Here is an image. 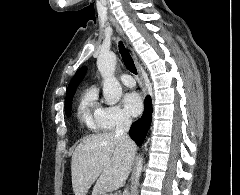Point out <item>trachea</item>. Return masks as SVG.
<instances>
[{
    "label": "trachea",
    "instance_id": "trachea-1",
    "mask_svg": "<svg viewBox=\"0 0 240 195\" xmlns=\"http://www.w3.org/2000/svg\"><path fill=\"white\" fill-rule=\"evenodd\" d=\"M119 51H120V54L122 55V60L124 62V65L126 66V68L130 72L137 74V69L134 64V61H133L131 55L126 50V48L124 47L122 42H119Z\"/></svg>",
    "mask_w": 240,
    "mask_h": 195
}]
</instances>
